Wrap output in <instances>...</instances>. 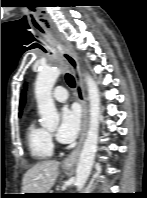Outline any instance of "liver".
<instances>
[{"instance_id":"obj_1","label":"liver","mask_w":147,"mask_h":198,"mask_svg":"<svg viewBox=\"0 0 147 198\" xmlns=\"http://www.w3.org/2000/svg\"><path fill=\"white\" fill-rule=\"evenodd\" d=\"M58 161H42L35 164L24 175L22 192L47 193L58 177Z\"/></svg>"}]
</instances>
